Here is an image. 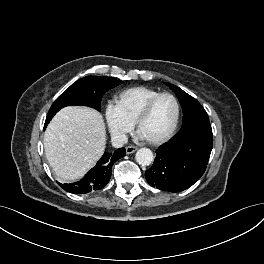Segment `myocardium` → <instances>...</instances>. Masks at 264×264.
<instances>
[{"label": "myocardium", "instance_id": "myocardium-1", "mask_svg": "<svg viewBox=\"0 0 264 264\" xmlns=\"http://www.w3.org/2000/svg\"><path fill=\"white\" fill-rule=\"evenodd\" d=\"M164 96H169L173 99L175 106H176V113H175V118L174 121L172 123V126L170 127V129L162 136L158 137V138H154V139H148L145 138L147 142H149L150 144L153 145H159L162 143H165L166 141H168L176 132L178 124H179V119H180V112H181V108H180V103L177 99V97L170 93V92H161L158 93L157 95L153 96L152 98H150L146 104L144 105V107L142 108V110L140 111V113L138 114L136 121H135V126L137 131L139 132L140 127L142 125V123L146 120V118L149 116V114L152 111L153 106L155 105V103Z\"/></svg>", "mask_w": 264, "mask_h": 264}]
</instances>
